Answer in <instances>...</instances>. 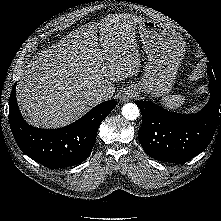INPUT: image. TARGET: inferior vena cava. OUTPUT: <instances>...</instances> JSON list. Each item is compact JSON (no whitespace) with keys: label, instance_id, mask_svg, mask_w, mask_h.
Wrapping results in <instances>:
<instances>
[{"label":"inferior vena cava","instance_id":"602c4592","mask_svg":"<svg viewBox=\"0 0 221 221\" xmlns=\"http://www.w3.org/2000/svg\"><path fill=\"white\" fill-rule=\"evenodd\" d=\"M92 97L98 101L101 102L102 100L108 99V93L105 90H95L94 92L91 93Z\"/></svg>","mask_w":221,"mask_h":221}]
</instances>
